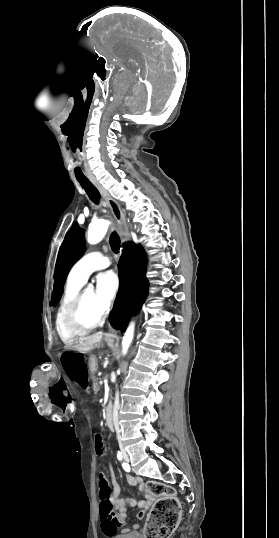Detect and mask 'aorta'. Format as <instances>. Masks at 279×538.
I'll return each instance as SVG.
<instances>
[{"label": "aorta", "instance_id": "762f6f07", "mask_svg": "<svg viewBox=\"0 0 279 538\" xmlns=\"http://www.w3.org/2000/svg\"><path fill=\"white\" fill-rule=\"evenodd\" d=\"M110 222L105 219H100L90 226L88 233H87V241L90 244H96L100 242L103 237L105 236ZM93 291V285L89 284V286L86 289V293H91ZM133 332H134V322H131L125 332V335L123 337L122 341V347H123V354H126L131 341L133 339Z\"/></svg>", "mask_w": 279, "mask_h": 538}]
</instances>
